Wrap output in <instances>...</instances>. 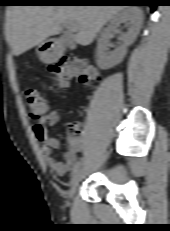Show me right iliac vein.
<instances>
[{
	"label": "right iliac vein",
	"mask_w": 170,
	"mask_h": 231,
	"mask_svg": "<svg viewBox=\"0 0 170 231\" xmlns=\"http://www.w3.org/2000/svg\"><path fill=\"white\" fill-rule=\"evenodd\" d=\"M83 179V170H78L72 177L70 182L69 197H73L77 187Z\"/></svg>",
	"instance_id": "obj_1"
}]
</instances>
